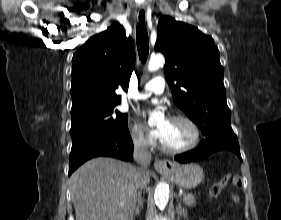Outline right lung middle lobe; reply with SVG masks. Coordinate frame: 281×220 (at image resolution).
Segmentation results:
<instances>
[{"mask_svg":"<svg viewBox=\"0 0 281 220\" xmlns=\"http://www.w3.org/2000/svg\"><path fill=\"white\" fill-rule=\"evenodd\" d=\"M72 143L89 138L106 139L128 137V115L111 109L72 118Z\"/></svg>","mask_w":281,"mask_h":220,"instance_id":"dd1d6c3e","label":"right lung middle lobe"}]
</instances>
